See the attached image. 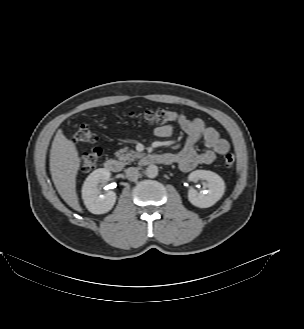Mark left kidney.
Returning a JSON list of instances; mask_svg holds the SVG:
<instances>
[{
  "instance_id": "left-kidney-1",
  "label": "left kidney",
  "mask_w": 304,
  "mask_h": 329,
  "mask_svg": "<svg viewBox=\"0 0 304 329\" xmlns=\"http://www.w3.org/2000/svg\"><path fill=\"white\" fill-rule=\"evenodd\" d=\"M189 180L197 182L198 180L207 181V193H198L194 188H190L188 199L191 204L199 208H208L213 206L221 199L225 192L224 180L216 173L207 170H195L189 174Z\"/></svg>"
}]
</instances>
